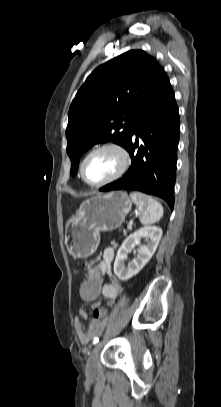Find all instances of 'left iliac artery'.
I'll list each match as a JSON object with an SVG mask.
<instances>
[{"mask_svg":"<svg viewBox=\"0 0 221 407\" xmlns=\"http://www.w3.org/2000/svg\"><path fill=\"white\" fill-rule=\"evenodd\" d=\"M98 341H99V339H98V338H94V340H93V344H96Z\"/></svg>","mask_w":221,"mask_h":407,"instance_id":"left-iliac-artery-1","label":"left iliac artery"}]
</instances>
